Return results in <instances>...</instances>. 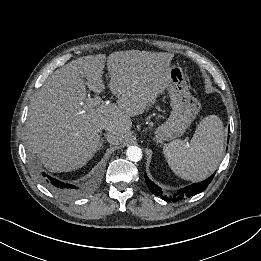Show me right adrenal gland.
Listing matches in <instances>:
<instances>
[{"label": "right adrenal gland", "instance_id": "right-adrenal-gland-1", "mask_svg": "<svg viewBox=\"0 0 261 261\" xmlns=\"http://www.w3.org/2000/svg\"><path fill=\"white\" fill-rule=\"evenodd\" d=\"M102 142H103V138H101V141H100V145H99L98 150L102 147Z\"/></svg>", "mask_w": 261, "mask_h": 261}]
</instances>
